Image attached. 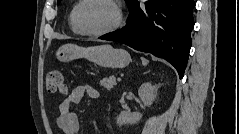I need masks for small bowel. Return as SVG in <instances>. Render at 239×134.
Segmentation results:
<instances>
[{
  "instance_id": "c3829d8e",
  "label": "small bowel",
  "mask_w": 239,
  "mask_h": 134,
  "mask_svg": "<svg viewBox=\"0 0 239 134\" xmlns=\"http://www.w3.org/2000/svg\"><path fill=\"white\" fill-rule=\"evenodd\" d=\"M84 96L91 99L100 97L99 91L89 85H80L75 87L69 96L59 105L60 114L56 120L57 126L63 134H78L80 121L77 114L72 110V106L78 104Z\"/></svg>"
}]
</instances>
